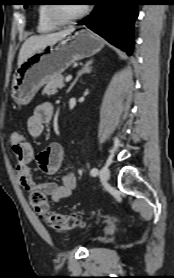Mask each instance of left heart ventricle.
I'll list each match as a JSON object with an SVG mask.
<instances>
[{
	"instance_id": "obj_1",
	"label": "left heart ventricle",
	"mask_w": 174,
	"mask_h": 278,
	"mask_svg": "<svg viewBox=\"0 0 174 278\" xmlns=\"http://www.w3.org/2000/svg\"><path fill=\"white\" fill-rule=\"evenodd\" d=\"M83 5H64L60 7V12L64 16H73L81 11Z\"/></svg>"
}]
</instances>
